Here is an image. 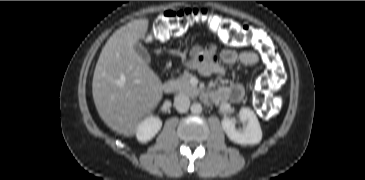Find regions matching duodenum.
I'll return each mask as SVG.
<instances>
[{
	"label": "duodenum",
	"instance_id": "duodenum-1",
	"mask_svg": "<svg viewBox=\"0 0 365 180\" xmlns=\"http://www.w3.org/2000/svg\"><path fill=\"white\" fill-rule=\"evenodd\" d=\"M162 88L166 93H172L175 90L176 85L173 81H166Z\"/></svg>",
	"mask_w": 365,
	"mask_h": 180
}]
</instances>
